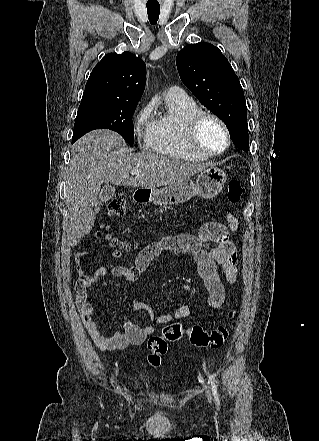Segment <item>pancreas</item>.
<instances>
[{
	"label": "pancreas",
	"mask_w": 319,
	"mask_h": 441,
	"mask_svg": "<svg viewBox=\"0 0 319 441\" xmlns=\"http://www.w3.org/2000/svg\"><path fill=\"white\" fill-rule=\"evenodd\" d=\"M168 208H170V207H163V209H161L160 211H161V212H164V209H165V211H166ZM155 212H157L156 209H155Z\"/></svg>",
	"instance_id": "1"
}]
</instances>
